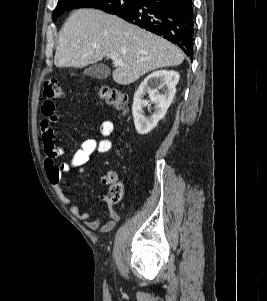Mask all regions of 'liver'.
<instances>
[{"mask_svg": "<svg viewBox=\"0 0 267 301\" xmlns=\"http://www.w3.org/2000/svg\"><path fill=\"white\" fill-rule=\"evenodd\" d=\"M110 54L123 62L113 79L129 85L159 68L180 65L183 52L169 41L123 19L95 9H78L65 22L59 37L56 67L82 68Z\"/></svg>", "mask_w": 267, "mask_h": 301, "instance_id": "6515ba94", "label": "liver"}]
</instances>
